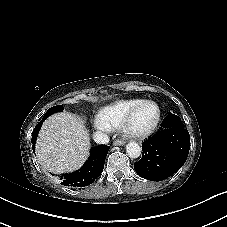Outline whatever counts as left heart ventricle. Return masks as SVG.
<instances>
[{
  "instance_id": "b2bd125f",
  "label": "left heart ventricle",
  "mask_w": 227,
  "mask_h": 227,
  "mask_svg": "<svg viewBox=\"0 0 227 227\" xmlns=\"http://www.w3.org/2000/svg\"><path fill=\"white\" fill-rule=\"evenodd\" d=\"M157 118V108L152 104H143L134 114L130 127L135 130L149 128Z\"/></svg>"
}]
</instances>
